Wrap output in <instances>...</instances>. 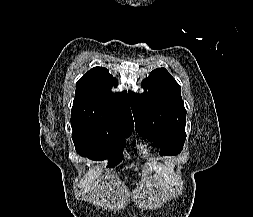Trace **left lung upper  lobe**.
I'll return each instance as SVG.
<instances>
[{"label": "left lung upper lobe", "instance_id": "5c2ea615", "mask_svg": "<svg viewBox=\"0 0 253 217\" xmlns=\"http://www.w3.org/2000/svg\"><path fill=\"white\" fill-rule=\"evenodd\" d=\"M142 86L144 93H131L137 132L161 147L162 155L179 154L186 139V110L180 85L165 68H158Z\"/></svg>", "mask_w": 253, "mask_h": 217}]
</instances>
